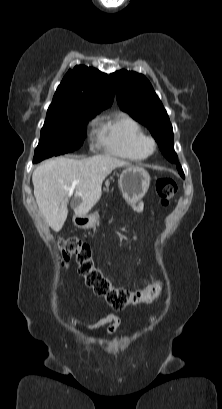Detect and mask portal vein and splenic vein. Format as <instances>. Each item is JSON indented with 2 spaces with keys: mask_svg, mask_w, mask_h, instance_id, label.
I'll return each mask as SVG.
<instances>
[{
  "mask_svg": "<svg viewBox=\"0 0 222 409\" xmlns=\"http://www.w3.org/2000/svg\"><path fill=\"white\" fill-rule=\"evenodd\" d=\"M78 182H79V180H75V181L72 183L71 187L69 188V191H70L71 193L74 191L75 186L77 185Z\"/></svg>",
  "mask_w": 222,
  "mask_h": 409,
  "instance_id": "1",
  "label": "portal vein and splenic vein"
}]
</instances>
